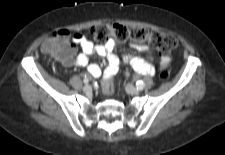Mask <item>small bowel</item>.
<instances>
[{"label": "small bowel", "instance_id": "obj_1", "mask_svg": "<svg viewBox=\"0 0 225 155\" xmlns=\"http://www.w3.org/2000/svg\"><path fill=\"white\" fill-rule=\"evenodd\" d=\"M71 43L75 47H81V53L78 54L74 61L75 66L85 67L91 76L99 77L101 75V68L98 64L89 63V56L100 55L105 56L108 60V64L103 70L104 75L102 81H111L113 76L120 74V63H118L117 66L115 63L110 62L113 60V55L115 54L113 50L116 43L114 41L109 40L105 43H94L87 39V34L85 31L75 30L71 34ZM133 47L140 52H146L148 50V47L143 43H133ZM124 61L128 62L132 68L140 74L153 75L155 73V68L152 64L154 61L153 56H150L149 60H145L141 57H126L124 58ZM168 61L169 59L167 57H163L161 60V65Z\"/></svg>", "mask_w": 225, "mask_h": 155}]
</instances>
